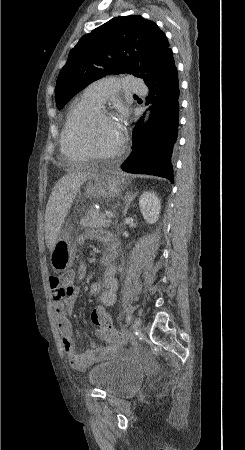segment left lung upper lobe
<instances>
[{
	"mask_svg": "<svg viewBox=\"0 0 245 450\" xmlns=\"http://www.w3.org/2000/svg\"><path fill=\"white\" fill-rule=\"evenodd\" d=\"M165 34L139 15L116 17L81 37L57 78V108L108 74L128 73L147 82L172 58Z\"/></svg>",
	"mask_w": 245,
	"mask_h": 450,
	"instance_id": "left-lung-upper-lobe-1",
	"label": "left lung upper lobe"
}]
</instances>
